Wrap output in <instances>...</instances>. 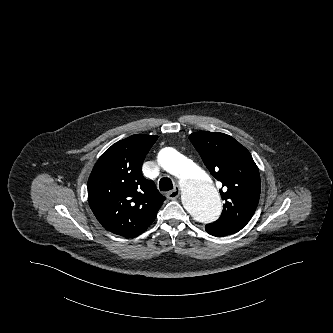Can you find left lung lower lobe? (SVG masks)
Listing matches in <instances>:
<instances>
[{"label": "left lung lower lobe", "instance_id": "left-lung-lower-lobe-1", "mask_svg": "<svg viewBox=\"0 0 333 333\" xmlns=\"http://www.w3.org/2000/svg\"><path fill=\"white\" fill-rule=\"evenodd\" d=\"M205 229L209 234H211L213 236H217V237L233 234L240 230V229L231 228V227L224 226V225H217L215 223L207 224L205 226Z\"/></svg>", "mask_w": 333, "mask_h": 333}]
</instances>
